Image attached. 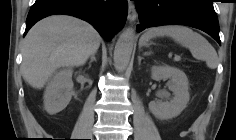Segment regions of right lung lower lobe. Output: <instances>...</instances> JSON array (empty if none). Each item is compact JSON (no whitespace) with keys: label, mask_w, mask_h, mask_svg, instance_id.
Instances as JSON below:
<instances>
[{"label":"right lung lower lobe","mask_w":236,"mask_h":140,"mask_svg":"<svg viewBox=\"0 0 236 140\" xmlns=\"http://www.w3.org/2000/svg\"><path fill=\"white\" fill-rule=\"evenodd\" d=\"M127 8V0H36L28 13L24 35L44 17L67 14L89 22L104 39L110 40L124 27Z\"/></svg>","instance_id":"98d812e1"}]
</instances>
